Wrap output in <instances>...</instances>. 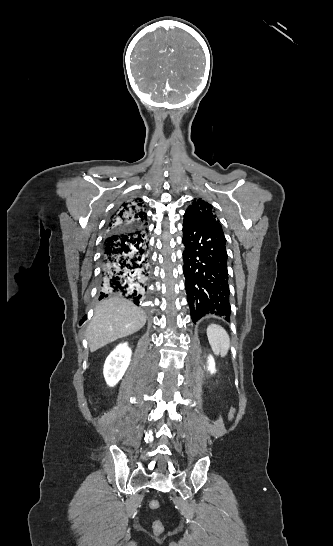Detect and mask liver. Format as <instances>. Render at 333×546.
<instances>
[{
    "mask_svg": "<svg viewBox=\"0 0 333 546\" xmlns=\"http://www.w3.org/2000/svg\"><path fill=\"white\" fill-rule=\"evenodd\" d=\"M145 323L146 315L132 302L119 297L101 300L86 331L90 351L136 333Z\"/></svg>",
    "mask_w": 333,
    "mask_h": 546,
    "instance_id": "6515ba94",
    "label": "liver"
}]
</instances>
